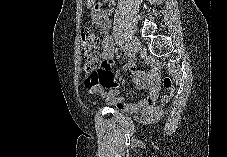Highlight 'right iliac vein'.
I'll list each match as a JSON object with an SVG mask.
<instances>
[{
    "label": "right iliac vein",
    "mask_w": 227,
    "mask_h": 157,
    "mask_svg": "<svg viewBox=\"0 0 227 157\" xmlns=\"http://www.w3.org/2000/svg\"><path fill=\"white\" fill-rule=\"evenodd\" d=\"M127 48H130V51H132V52L138 51V49L140 48V42H139V40H137V39L132 40L128 44Z\"/></svg>",
    "instance_id": "1"
}]
</instances>
